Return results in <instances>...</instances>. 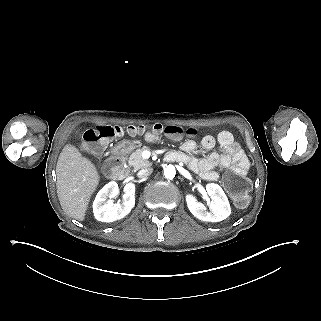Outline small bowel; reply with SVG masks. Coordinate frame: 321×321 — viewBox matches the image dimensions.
<instances>
[{"label": "small bowel", "mask_w": 321, "mask_h": 321, "mask_svg": "<svg viewBox=\"0 0 321 321\" xmlns=\"http://www.w3.org/2000/svg\"><path fill=\"white\" fill-rule=\"evenodd\" d=\"M146 139L154 141L156 136L153 133H147ZM216 144L219 145L220 151L212 152L201 159L187 155V153H194L198 149V144L192 139L182 143V152L175 153L179 156L178 161L186 164L191 171L197 173L206 181L218 179V173L214 170L217 167L220 169L230 168L233 171L243 173L248 170V158L229 131L220 132L217 138L212 135H206L201 140V146L205 150L213 149Z\"/></svg>", "instance_id": "small-bowel-1"}]
</instances>
